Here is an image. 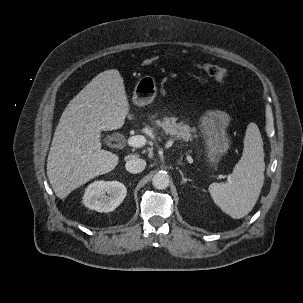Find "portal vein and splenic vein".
I'll return each instance as SVG.
<instances>
[{"mask_svg":"<svg viewBox=\"0 0 303 303\" xmlns=\"http://www.w3.org/2000/svg\"><path fill=\"white\" fill-rule=\"evenodd\" d=\"M145 143H146V139L144 136L141 135L132 136L127 140V144L131 147H142L145 145Z\"/></svg>","mask_w":303,"mask_h":303,"instance_id":"portal-vein-and-splenic-vein-1","label":"portal vein and splenic vein"}]
</instances>
